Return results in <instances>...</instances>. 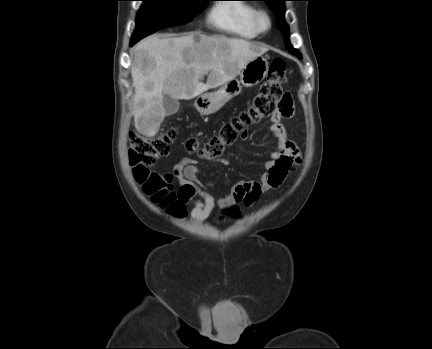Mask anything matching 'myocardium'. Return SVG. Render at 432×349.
Returning a JSON list of instances; mask_svg holds the SVG:
<instances>
[{"mask_svg":"<svg viewBox=\"0 0 432 349\" xmlns=\"http://www.w3.org/2000/svg\"><path fill=\"white\" fill-rule=\"evenodd\" d=\"M253 23L258 33H266L272 27V17L265 9H257L254 13Z\"/></svg>","mask_w":432,"mask_h":349,"instance_id":"obj_1","label":"myocardium"}]
</instances>
